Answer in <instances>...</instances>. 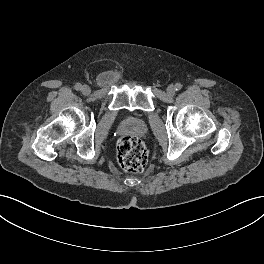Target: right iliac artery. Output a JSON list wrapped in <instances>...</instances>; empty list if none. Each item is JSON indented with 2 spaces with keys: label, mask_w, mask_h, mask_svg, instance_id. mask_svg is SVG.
<instances>
[{
  "label": "right iliac artery",
  "mask_w": 264,
  "mask_h": 264,
  "mask_svg": "<svg viewBox=\"0 0 264 264\" xmlns=\"http://www.w3.org/2000/svg\"><path fill=\"white\" fill-rule=\"evenodd\" d=\"M74 88H75L76 90H81L82 85H81L80 83H76L75 86H74Z\"/></svg>",
  "instance_id": "82829eb1"
}]
</instances>
